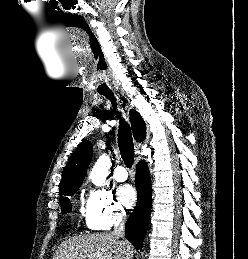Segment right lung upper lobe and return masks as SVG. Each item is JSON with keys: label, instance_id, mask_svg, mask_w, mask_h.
I'll return each mask as SVG.
<instances>
[{"label": "right lung upper lobe", "instance_id": "1", "mask_svg": "<svg viewBox=\"0 0 248 259\" xmlns=\"http://www.w3.org/2000/svg\"><path fill=\"white\" fill-rule=\"evenodd\" d=\"M130 122L136 141H143L146 137V124L137 111L131 110ZM92 151V144L89 141H82L78 145L68 161L59 185L60 195H63L66 191L78 189L81 186L91 160Z\"/></svg>", "mask_w": 248, "mask_h": 259}]
</instances>
